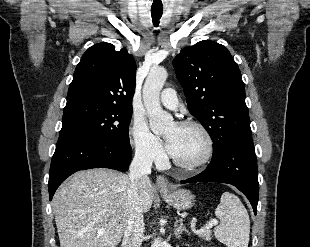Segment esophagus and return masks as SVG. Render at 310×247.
<instances>
[{"instance_id": "34e87169", "label": "esophagus", "mask_w": 310, "mask_h": 247, "mask_svg": "<svg viewBox=\"0 0 310 247\" xmlns=\"http://www.w3.org/2000/svg\"><path fill=\"white\" fill-rule=\"evenodd\" d=\"M156 185H157V188L162 192L168 191V189H169V182H168L167 178L164 177L163 175L157 176Z\"/></svg>"}]
</instances>
